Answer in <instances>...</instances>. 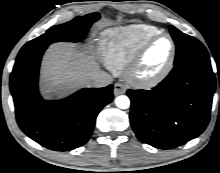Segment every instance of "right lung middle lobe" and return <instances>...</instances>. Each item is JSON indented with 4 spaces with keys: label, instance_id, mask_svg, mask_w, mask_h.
<instances>
[{
    "label": "right lung middle lobe",
    "instance_id": "obj_1",
    "mask_svg": "<svg viewBox=\"0 0 220 173\" xmlns=\"http://www.w3.org/2000/svg\"><path fill=\"white\" fill-rule=\"evenodd\" d=\"M98 13L88 14L85 17H77L65 24L50 28L45 34L25 44L20 53L48 46L59 41L77 42L88 32L91 24L99 19Z\"/></svg>",
    "mask_w": 220,
    "mask_h": 173
}]
</instances>
